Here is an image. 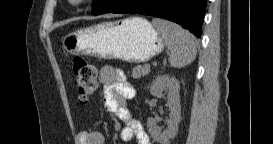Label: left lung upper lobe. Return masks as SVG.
Listing matches in <instances>:
<instances>
[{"label":"left lung upper lobe","instance_id":"5c2ea615","mask_svg":"<svg viewBox=\"0 0 273 144\" xmlns=\"http://www.w3.org/2000/svg\"><path fill=\"white\" fill-rule=\"evenodd\" d=\"M108 1L109 0H94L92 14L101 11L107 5Z\"/></svg>","mask_w":273,"mask_h":144}]
</instances>
